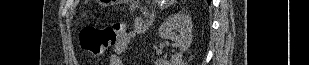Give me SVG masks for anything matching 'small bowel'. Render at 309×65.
Here are the masks:
<instances>
[{
	"label": "small bowel",
	"instance_id": "obj_1",
	"mask_svg": "<svg viewBox=\"0 0 309 65\" xmlns=\"http://www.w3.org/2000/svg\"><path fill=\"white\" fill-rule=\"evenodd\" d=\"M146 29L145 21L142 18H135L133 29L123 33L114 46V53L110 56V65H124L122 54L126 51L131 41L144 33Z\"/></svg>",
	"mask_w": 309,
	"mask_h": 65
}]
</instances>
